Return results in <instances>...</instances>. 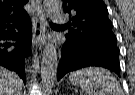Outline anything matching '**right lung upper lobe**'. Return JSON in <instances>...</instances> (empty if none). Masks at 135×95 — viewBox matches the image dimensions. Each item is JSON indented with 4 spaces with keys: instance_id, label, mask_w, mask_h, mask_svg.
Wrapping results in <instances>:
<instances>
[{
    "instance_id": "obj_1",
    "label": "right lung upper lobe",
    "mask_w": 135,
    "mask_h": 95,
    "mask_svg": "<svg viewBox=\"0 0 135 95\" xmlns=\"http://www.w3.org/2000/svg\"><path fill=\"white\" fill-rule=\"evenodd\" d=\"M28 0H0V25L19 22L28 16L23 6Z\"/></svg>"
}]
</instances>
